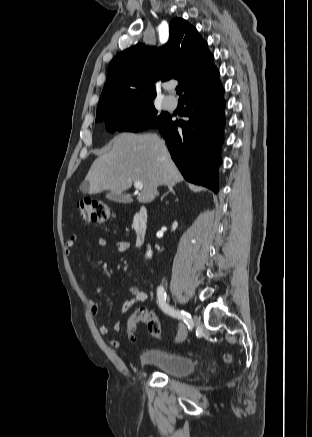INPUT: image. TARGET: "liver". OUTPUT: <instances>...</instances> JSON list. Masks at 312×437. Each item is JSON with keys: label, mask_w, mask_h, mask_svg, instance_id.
Segmentation results:
<instances>
[{"label": "liver", "mask_w": 312, "mask_h": 437, "mask_svg": "<svg viewBox=\"0 0 312 437\" xmlns=\"http://www.w3.org/2000/svg\"><path fill=\"white\" fill-rule=\"evenodd\" d=\"M85 181L88 188L81 189L89 194L103 190L121 194L141 181L143 189L137 200L149 203L156 197L158 186H174L183 177L158 135L122 133L113 138L111 150L93 162Z\"/></svg>", "instance_id": "6515ba94"}]
</instances>
